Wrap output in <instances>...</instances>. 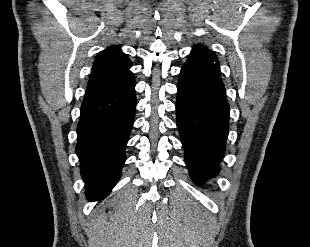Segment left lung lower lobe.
Returning <instances> with one entry per match:
<instances>
[{
  "instance_id": "1",
  "label": "left lung lower lobe",
  "mask_w": 310,
  "mask_h": 247,
  "mask_svg": "<svg viewBox=\"0 0 310 247\" xmlns=\"http://www.w3.org/2000/svg\"><path fill=\"white\" fill-rule=\"evenodd\" d=\"M177 127L191 177L215 176L224 157L229 105L218 75L183 67L177 85Z\"/></svg>"
}]
</instances>
